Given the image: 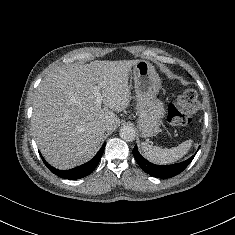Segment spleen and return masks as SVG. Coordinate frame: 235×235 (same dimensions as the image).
<instances>
[{
    "label": "spleen",
    "instance_id": "obj_1",
    "mask_svg": "<svg viewBox=\"0 0 235 235\" xmlns=\"http://www.w3.org/2000/svg\"><path fill=\"white\" fill-rule=\"evenodd\" d=\"M191 146V139L170 149H161L160 147L152 146L146 142L141 143V148L146 158L157 164H169L179 160L188 153Z\"/></svg>",
    "mask_w": 235,
    "mask_h": 235
}]
</instances>
